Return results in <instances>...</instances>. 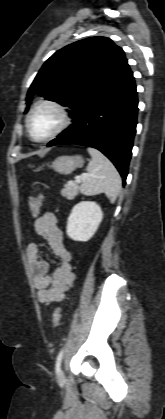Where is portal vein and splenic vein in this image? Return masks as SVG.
<instances>
[{
  "instance_id": "1",
  "label": "portal vein and splenic vein",
  "mask_w": 165,
  "mask_h": 419,
  "mask_svg": "<svg viewBox=\"0 0 165 419\" xmlns=\"http://www.w3.org/2000/svg\"><path fill=\"white\" fill-rule=\"evenodd\" d=\"M87 177H88V174H83L81 176H77L75 178V182L80 183V182L84 181ZM69 184H73V183L70 182Z\"/></svg>"
}]
</instances>
